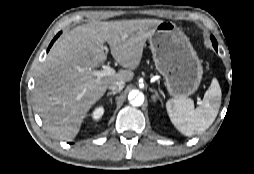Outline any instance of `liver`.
I'll return each mask as SVG.
<instances>
[{"mask_svg": "<svg viewBox=\"0 0 254 174\" xmlns=\"http://www.w3.org/2000/svg\"><path fill=\"white\" fill-rule=\"evenodd\" d=\"M162 20L94 21L73 28L56 42L41 64L34 89L35 108L51 134L70 141L76 137L91 107L114 81L129 82L143 49ZM125 70L97 78L106 59L104 43Z\"/></svg>", "mask_w": 254, "mask_h": 174, "instance_id": "liver-1", "label": "liver"}]
</instances>
